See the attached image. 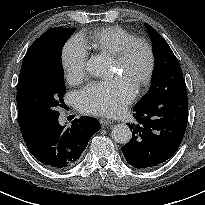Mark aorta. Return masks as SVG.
Listing matches in <instances>:
<instances>
[{
    "instance_id": "762f6f07",
    "label": "aorta",
    "mask_w": 205,
    "mask_h": 205,
    "mask_svg": "<svg viewBox=\"0 0 205 205\" xmlns=\"http://www.w3.org/2000/svg\"><path fill=\"white\" fill-rule=\"evenodd\" d=\"M87 71L92 76L105 77L109 75V65L105 57L92 56L87 62ZM112 139L120 144H126L132 137L130 128L125 124H117L111 131Z\"/></svg>"
}]
</instances>
